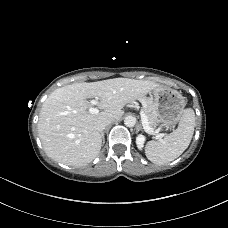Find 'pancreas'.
Segmentation results:
<instances>
[{
	"label": "pancreas",
	"instance_id": "cf45deb5",
	"mask_svg": "<svg viewBox=\"0 0 228 228\" xmlns=\"http://www.w3.org/2000/svg\"><path fill=\"white\" fill-rule=\"evenodd\" d=\"M143 111L147 116L149 126L155 127L158 123V114L154 104L150 100H146L143 105Z\"/></svg>",
	"mask_w": 228,
	"mask_h": 228
}]
</instances>
